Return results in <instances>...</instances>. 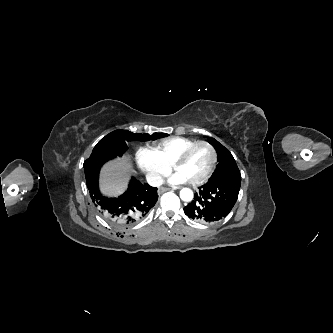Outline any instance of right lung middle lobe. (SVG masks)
I'll return each instance as SVG.
<instances>
[{
  "label": "right lung middle lobe",
  "mask_w": 333,
  "mask_h": 333,
  "mask_svg": "<svg viewBox=\"0 0 333 333\" xmlns=\"http://www.w3.org/2000/svg\"><path fill=\"white\" fill-rule=\"evenodd\" d=\"M168 136L166 133L149 134H135L127 130H116L103 139H101L94 147L91 156H121L127 149L126 142L135 139H153L156 140L160 137Z\"/></svg>",
  "instance_id": "1"
}]
</instances>
